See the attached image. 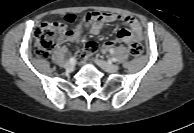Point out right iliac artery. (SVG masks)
<instances>
[{"label": "right iliac artery", "instance_id": "82829eb1", "mask_svg": "<svg viewBox=\"0 0 194 133\" xmlns=\"http://www.w3.org/2000/svg\"><path fill=\"white\" fill-rule=\"evenodd\" d=\"M69 61H70L71 63H73V62H74V59H73V58H70Z\"/></svg>", "mask_w": 194, "mask_h": 133}]
</instances>
